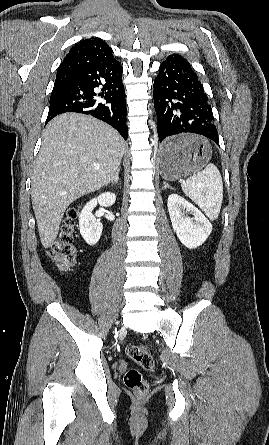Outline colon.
<instances>
[{
	"mask_svg": "<svg viewBox=\"0 0 269 445\" xmlns=\"http://www.w3.org/2000/svg\"><path fill=\"white\" fill-rule=\"evenodd\" d=\"M78 209L70 208L61 227L58 240L49 251L52 260L61 268L70 267L76 259L77 249L74 245L75 229L77 226ZM129 358L142 369L151 371L155 362L149 349L145 346L134 345L128 349ZM125 385L133 392L144 395L148 391V384L141 372L135 368L129 369L124 376Z\"/></svg>",
	"mask_w": 269,
	"mask_h": 445,
	"instance_id": "5ec220e1",
	"label": "colon"
}]
</instances>
